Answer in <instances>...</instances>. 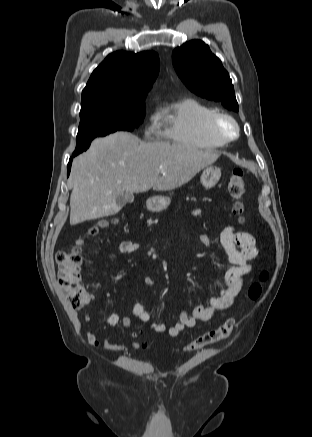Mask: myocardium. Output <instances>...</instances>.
I'll list each match as a JSON object with an SVG mask.
<instances>
[{
    "label": "myocardium",
    "mask_w": 312,
    "mask_h": 437,
    "mask_svg": "<svg viewBox=\"0 0 312 437\" xmlns=\"http://www.w3.org/2000/svg\"><path fill=\"white\" fill-rule=\"evenodd\" d=\"M222 121H227L231 124L233 127L232 133L227 134L221 130L220 123ZM206 128L211 136L223 143H228L235 140L239 136L240 132L239 124L236 119L224 111L212 112L206 120Z\"/></svg>",
    "instance_id": "f54148a6"
}]
</instances>
